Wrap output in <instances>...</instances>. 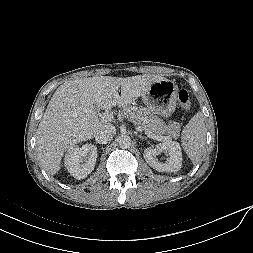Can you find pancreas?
Segmentation results:
<instances>
[{"mask_svg": "<svg viewBox=\"0 0 253 253\" xmlns=\"http://www.w3.org/2000/svg\"><path fill=\"white\" fill-rule=\"evenodd\" d=\"M121 115L140 126L143 131H151L154 135H167L169 138H178L180 135L181 125L179 123L172 122L167 125L147 108L125 106Z\"/></svg>", "mask_w": 253, "mask_h": 253, "instance_id": "pancreas-1", "label": "pancreas"}]
</instances>
